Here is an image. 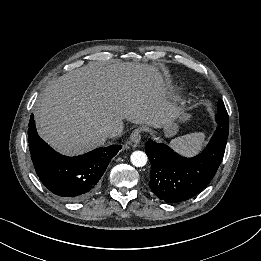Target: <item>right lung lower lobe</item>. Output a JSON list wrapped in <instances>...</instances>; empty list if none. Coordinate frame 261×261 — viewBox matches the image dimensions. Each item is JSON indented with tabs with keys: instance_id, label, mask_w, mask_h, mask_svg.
<instances>
[{
	"instance_id": "obj_1",
	"label": "right lung lower lobe",
	"mask_w": 261,
	"mask_h": 261,
	"mask_svg": "<svg viewBox=\"0 0 261 261\" xmlns=\"http://www.w3.org/2000/svg\"><path fill=\"white\" fill-rule=\"evenodd\" d=\"M28 142L31 159L43 185L69 201H82L93 195L111 159L122 148L111 145L80 156H62L38 136L33 115Z\"/></svg>"
}]
</instances>
